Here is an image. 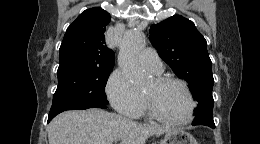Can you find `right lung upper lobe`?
<instances>
[{"mask_svg":"<svg viewBox=\"0 0 260 144\" xmlns=\"http://www.w3.org/2000/svg\"><path fill=\"white\" fill-rule=\"evenodd\" d=\"M110 14L99 7L82 12L67 28L60 46V65L64 68H113L115 55L105 44Z\"/></svg>","mask_w":260,"mask_h":144,"instance_id":"right-lung-upper-lobe-1","label":"right lung upper lobe"}]
</instances>
